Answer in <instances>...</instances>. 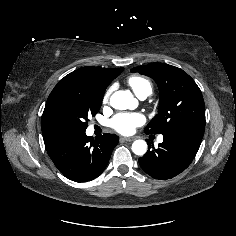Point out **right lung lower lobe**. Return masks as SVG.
I'll return each instance as SVG.
<instances>
[{
  "instance_id": "right-lung-lower-lobe-1",
  "label": "right lung lower lobe",
  "mask_w": 236,
  "mask_h": 236,
  "mask_svg": "<svg viewBox=\"0 0 236 236\" xmlns=\"http://www.w3.org/2000/svg\"><path fill=\"white\" fill-rule=\"evenodd\" d=\"M118 142L115 134L105 133L94 141L82 133L65 137L46 150L64 176L83 182L97 178L104 171Z\"/></svg>"
}]
</instances>
